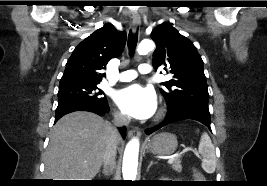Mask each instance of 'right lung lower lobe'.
Instances as JSON below:
<instances>
[{
	"mask_svg": "<svg viewBox=\"0 0 267 186\" xmlns=\"http://www.w3.org/2000/svg\"><path fill=\"white\" fill-rule=\"evenodd\" d=\"M75 111H89L102 116L109 111V106L107 102H96L87 99L63 100L58 103L55 113V122L62 116ZM119 130L121 135L125 137V128H119Z\"/></svg>",
	"mask_w": 267,
	"mask_h": 186,
	"instance_id": "1",
	"label": "right lung lower lobe"
}]
</instances>
